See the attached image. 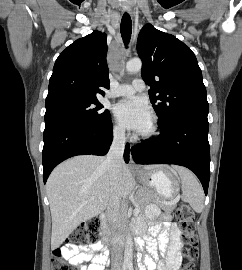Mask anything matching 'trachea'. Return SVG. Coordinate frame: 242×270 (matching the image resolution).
<instances>
[{
	"label": "trachea",
	"mask_w": 242,
	"mask_h": 270,
	"mask_svg": "<svg viewBox=\"0 0 242 270\" xmlns=\"http://www.w3.org/2000/svg\"><path fill=\"white\" fill-rule=\"evenodd\" d=\"M132 33V21L128 13H124L121 20V36L124 44L127 47V44L130 41Z\"/></svg>",
	"instance_id": "3493384b"
}]
</instances>
